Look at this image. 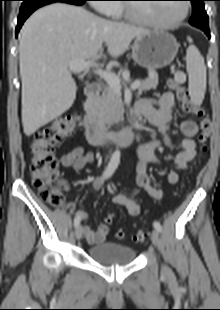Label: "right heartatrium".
Instances as JSON below:
<instances>
[{
    "label": "right heart atrium",
    "instance_id": "1",
    "mask_svg": "<svg viewBox=\"0 0 220 310\" xmlns=\"http://www.w3.org/2000/svg\"><path fill=\"white\" fill-rule=\"evenodd\" d=\"M111 0H97L94 7L95 9L104 14V15H111L113 9H115V5L111 3Z\"/></svg>",
    "mask_w": 220,
    "mask_h": 310
}]
</instances>
